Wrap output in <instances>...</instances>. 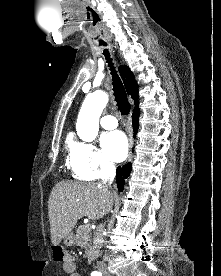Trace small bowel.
<instances>
[{
  "mask_svg": "<svg viewBox=\"0 0 221 276\" xmlns=\"http://www.w3.org/2000/svg\"><path fill=\"white\" fill-rule=\"evenodd\" d=\"M62 267L64 272L67 273L69 276H80L76 270V262L73 256H67V258L63 262Z\"/></svg>",
  "mask_w": 221,
  "mask_h": 276,
  "instance_id": "obj_1",
  "label": "small bowel"
}]
</instances>
